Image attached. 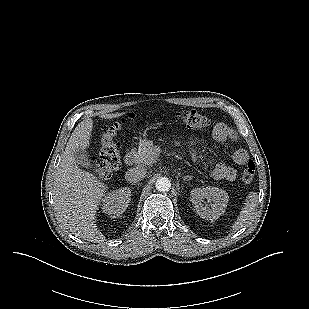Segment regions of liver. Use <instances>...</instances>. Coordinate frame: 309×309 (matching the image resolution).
I'll return each mask as SVG.
<instances>
[{"label": "liver", "mask_w": 309, "mask_h": 309, "mask_svg": "<svg viewBox=\"0 0 309 309\" xmlns=\"http://www.w3.org/2000/svg\"><path fill=\"white\" fill-rule=\"evenodd\" d=\"M125 113L104 115L113 119ZM93 120H83L69 138L60 164L55 172L53 184L54 207L61 224L75 236L94 243L105 241L96 222V212L107 191V186L94 175L80 169L74 159L73 150L89 146Z\"/></svg>", "instance_id": "liver-1"}]
</instances>
